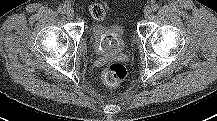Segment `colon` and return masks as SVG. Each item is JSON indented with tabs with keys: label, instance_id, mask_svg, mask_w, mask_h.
<instances>
[{
	"label": "colon",
	"instance_id": "5ec220e1",
	"mask_svg": "<svg viewBox=\"0 0 217 121\" xmlns=\"http://www.w3.org/2000/svg\"><path fill=\"white\" fill-rule=\"evenodd\" d=\"M91 16L101 22L105 16V10L102 5L94 4L90 7ZM127 76V69L120 63H113L105 68L102 73V79L108 86H116L121 83Z\"/></svg>",
	"mask_w": 217,
	"mask_h": 121
}]
</instances>
